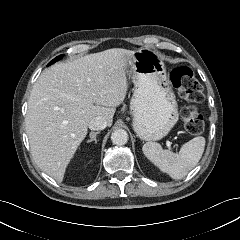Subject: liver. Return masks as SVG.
I'll return each mask as SVG.
<instances>
[{
    "label": "liver",
    "mask_w": 240,
    "mask_h": 240,
    "mask_svg": "<svg viewBox=\"0 0 240 240\" xmlns=\"http://www.w3.org/2000/svg\"><path fill=\"white\" fill-rule=\"evenodd\" d=\"M134 52L113 48L46 69L35 82L25 118L31 153L38 167L62 182L68 164L88 133L89 122L103 117L111 126L125 99L126 65Z\"/></svg>",
    "instance_id": "obj_1"
}]
</instances>
